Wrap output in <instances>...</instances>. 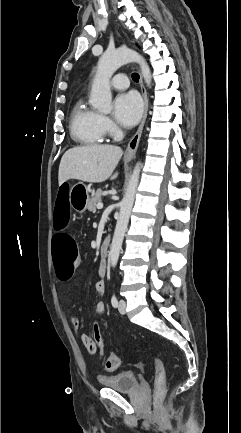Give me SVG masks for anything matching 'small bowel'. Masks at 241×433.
I'll return each mask as SVG.
<instances>
[{
  "instance_id": "c3829d8e",
  "label": "small bowel",
  "mask_w": 241,
  "mask_h": 433,
  "mask_svg": "<svg viewBox=\"0 0 241 433\" xmlns=\"http://www.w3.org/2000/svg\"><path fill=\"white\" fill-rule=\"evenodd\" d=\"M99 273L102 276L105 274V264H103V263L100 264ZM95 290L100 297H103V295L105 294V291H106V283L103 279H100L96 282ZM105 309H106L105 303L102 299H100L96 303L95 311L98 314H103L105 312ZM71 324L75 329H78L80 327V324H81L80 319L78 317H72L71 318ZM81 340H82L84 346L86 347V349L89 353L95 354L97 352L96 348H89V346H88L89 342L93 343L92 337H90L88 334H82Z\"/></svg>"
}]
</instances>
